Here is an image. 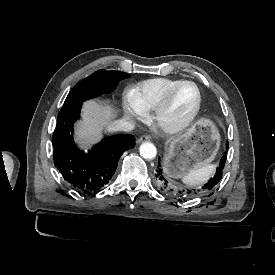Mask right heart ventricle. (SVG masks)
<instances>
[{"instance_id":"obj_1","label":"right heart ventricle","mask_w":275,"mask_h":275,"mask_svg":"<svg viewBox=\"0 0 275 275\" xmlns=\"http://www.w3.org/2000/svg\"><path fill=\"white\" fill-rule=\"evenodd\" d=\"M177 80L156 78L141 83L132 93L135 105L142 111H155L163 101L166 93Z\"/></svg>"}]
</instances>
